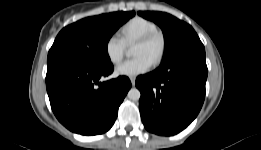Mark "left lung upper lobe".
I'll use <instances>...</instances> for the list:
<instances>
[{"mask_svg":"<svg viewBox=\"0 0 261 150\" xmlns=\"http://www.w3.org/2000/svg\"><path fill=\"white\" fill-rule=\"evenodd\" d=\"M138 14L158 24L165 38V59L178 46L191 38L198 37L194 29L174 16L157 11H139Z\"/></svg>","mask_w":261,"mask_h":150,"instance_id":"5c2ea615","label":"left lung upper lobe"}]
</instances>
